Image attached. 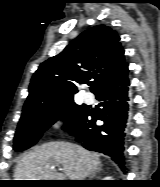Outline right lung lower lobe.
I'll list each match as a JSON object with an SVG mask.
<instances>
[{
  "instance_id": "1",
  "label": "right lung lower lobe",
  "mask_w": 160,
  "mask_h": 187,
  "mask_svg": "<svg viewBox=\"0 0 160 187\" xmlns=\"http://www.w3.org/2000/svg\"><path fill=\"white\" fill-rule=\"evenodd\" d=\"M128 65L115 77L104 81L94 92L101 110L88 109L86 116L69 133L76 141L91 151L108 155L118 166L125 169L123 133L128 111ZM98 120L103 121L97 125Z\"/></svg>"
}]
</instances>
